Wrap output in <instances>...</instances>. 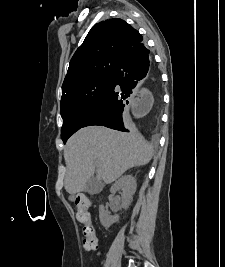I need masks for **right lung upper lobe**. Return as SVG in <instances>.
Returning <instances> with one entry per match:
<instances>
[{"mask_svg":"<svg viewBox=\"0 0 225 267\" xmlns=\"http://www.w3.org/2000/svg\"><path fill=\"white\" fill-rule=\"evenodd\" d=\"M142 40V35L120 18L95 24L70 61L62 93L87 80L113 74L121 56Z\"/></svg>","mask_w":225,"mask_h":267,"instance_id":"cb5924a9","label":"right lung upper lobe"}]
</instances>
